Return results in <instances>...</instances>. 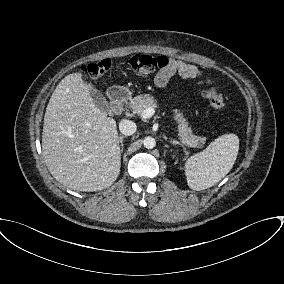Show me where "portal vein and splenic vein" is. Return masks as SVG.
I'll return each instance as SVG.
<instances>
[{"label":"portal vein and splenic vein","instance_id":"1","mask_svg":"<svg viewBox=\"0 0 284 284\" xmlns=\"http://www.w3.org/2000/svg\"><path fill=\"white\" fill-rule=\"evenodd\" d=\"M154 113H155V109L152 108V107H149V108H146V109L142 112L141 117H142L143 119H148V118L152 117V116L154 115Z\"/></svg>","mask_w":284,"mask_h":284}]
</instances>
